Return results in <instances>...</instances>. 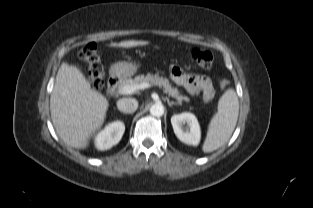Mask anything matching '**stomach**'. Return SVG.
Listing matches in <instances>:
<instances>
[{"mask_svg":"<svg viewBox=\"0 0 313 208\" xmlns=\"http://www.w3.org/2000/svg\"><path fill=\"white\" fill-rule=\"evenodd\" d=\"M138 65L128 62H120L112 67L111 73L116 76H131L136 73Z\"/></svg>","mask_w":313,"mask_h":208,"instance_id":"0dacf381","label":"stomach"}]
</instances>
